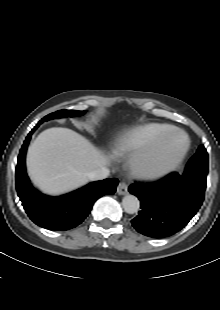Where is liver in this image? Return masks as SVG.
I'll return each mask as SVG.
<instances>
[{"label":"liver","mask_w":220,"mask_h":310,"mask_svg":"<svg viewBox=\"0 0 220 310\" xmlns=\"http://www.w3.org/2000/svg\"><path fill=\"white\" fill-rule=\"evenodd\" d=\"M109 158L86 138L67 128L41 132L27 154V170L43 192L58 195L82 185L87 174L109 165Z\"/></svg>","instance_id":"obj_1"}]
</instances>
